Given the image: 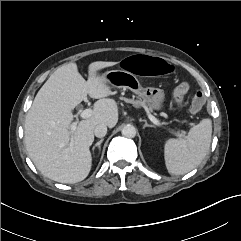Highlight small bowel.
<instances>
[{
  "label": "small bowel",
  "instance_id": "c3829d8e",
  "mask_svg": "<svg viewBox=\"0 0 241 241\" xmlns=\"http://www.w3.org/2000/svg\"><path fill=\"white\" fill-rule=\"evenodd\" d=\"M156 57H160V56H156ZM188 90H189V85L187 83L183 82L180 85H178V87L174 92V100L178 105L182 104L184 96L187 94Z\"/></svg>",
  "mask_w": 241,
  "mask_h": 241
}]
</instances>
